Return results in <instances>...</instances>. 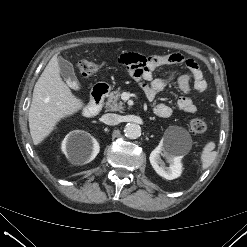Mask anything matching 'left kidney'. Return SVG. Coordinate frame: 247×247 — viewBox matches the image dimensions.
Here are the masks:
<instances>
[{"label":"left kidney","mask_w":247,"mask_h":247,"mask_svg":"<svg viewBox=\"0 0 247 247\" xmlns=\"http://www.w3.org/2000/svg\"><path fill=\"white\" fill-rule=\"evenodd\" d=\"M161 156L166 159L169 166H166L165 162L161 159ZM182 158L183 156L179 155L174 148L161 141L151 152L149 160L157 174L167 180H173L182 173Z\"/></svg>","instance_id":"obj_1"}]
</instances>
